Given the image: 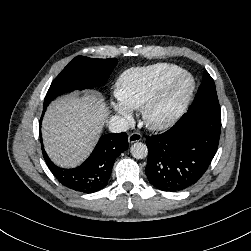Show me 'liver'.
<instances>
[{
	"label": "liver",
	"mask_w": 251,
	"mask_h": 251,
	"mask_svg": "<svg viewBox=\"0 0 251 251\" xmlns=\"http://www.w3.org/2000/svg\"><path fill=\"white\" fill-rule=\"evenodd\" d=\"M107 115L104 99L90 92L52 102L42 123L45 150L51 160L61 167L83 162L95 146Z\"/></svg>",
	"instance_id": "liver-1"
}]
</instances>
